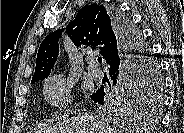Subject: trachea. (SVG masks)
I'll return each instance as SVG.
<instances>
[{
    "label": "trachea",
    "instance_id": "1",
    "mask_svg": "<svg viewBox=\"0 0 184 133\" xmlns=\"http://www.w3.org/2000/svg\"><path fill=\"white\" fill-rule=\"evenodd\" d=\"M97 60H98L99 63H102V57H98Z\"/></svg>",
    "mask_w": 184,
    "mask_h": 133
}]
</instances>
